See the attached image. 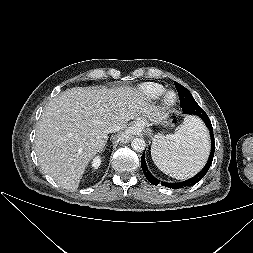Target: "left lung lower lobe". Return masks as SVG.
<instances>
[{
	"label": "left lung lower lobe",
	"instance_id": "0a47b994",
	"mask_svg": "<svg viewBox=\"0 0 253 253\" xmlns=\"http://www.w3.org/2000/svg\"><path fill=\"white\" fill-rule=\"evenodd\" d=\"M196 115L199 116L204 123L206 124V126L208 127L209 131H210V137H211V152H210V156L209 159L205 165V167L194 177L183 181V182H179V183H167V182H163V181H159L157 178H155L149 171V169L147 168L146 165V161H145V156L144 153L141 157V168L143 170V173L145 175V177L147 178V180L153 184V185H158L161 183L162 186L168 187V188H172V189H180V188H185L191 185L196 184L197 182H199L207 173V171L209 170L211 164H212V160H213V156H214V151H215V142H214V135H213V128H212V124L209 120L208 115L203 111L202 108L198 109L196 111Z\"/></svg>",
	"mask_w": 253,
	"mask_h": 253
}]
</instances>
